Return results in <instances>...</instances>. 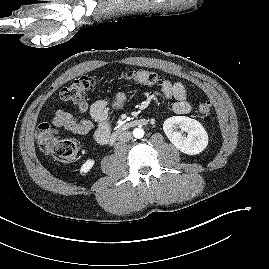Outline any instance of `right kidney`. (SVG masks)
Segmentation results:
<instances>
[{"mask_svg":"<svg viewBox=\"0 0 269 269\" xmlns=\"http://www.w3.org/2000/svg\"><path fill=\"white\" fill-rule=\"evenodd\" d=\"M94 163L95 161L93 159H87L81 166V172L87 173L94 166Z\"/></svg>","mask_w":269,"mask_h":269,"instance_id":"obj_1","label":"right kidney"}]
</instances>
